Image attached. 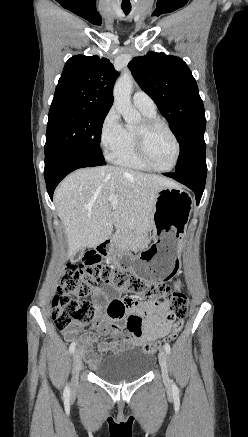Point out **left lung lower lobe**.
Listing matches in <instances>:
<instances>
[{
  "label": "left lung lower lobe",
  "instance_id": "left-lung-lower-lobe-1",
  "mask_svg": "<svg viewBox=\"0 0 248 437\" xmlns=\"http://www.w3.org/2000/svg\"><path fill=\"white\" fill-rule=\"evenodd\" d=\"M164 175L189 187L195 193L198 204L204 191L207 175L205 153L198 155L195 160L185 168Z\"/></svg>",
  "mask_w": 248,
  "mask_h": 437
}]
</instances>
